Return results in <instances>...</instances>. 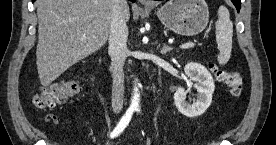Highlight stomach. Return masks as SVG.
I'll return each instance as SVG.
<instances>
[{
	"mask_svg": "<svg viewBox=\"0 0 276 145\" xmlns=\"http://www.w3.org/2000/svg\"><path fill=\"white\" fill-rule=\"evenodd\" d=\"M157 16L175 33L194 36L206 28L209 9L205 0H170L157 10Z\"/></svg>",
	"mask_w": 276,
	"mask_h": 145,
	"instance_id": "obj_1",
	"label": "stomach"
}]
</instances>
